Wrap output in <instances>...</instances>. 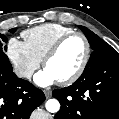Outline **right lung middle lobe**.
<instances>
[{
  "instance_id": "1",
  "label": "right lung middle lobe",
  "mask_w": 119,
  "mask_h": 119,
  "mask_svg": "<svg viewBox=\"0 0 119 119\" xmlns=\"http://www.w3.org/2000/svg\"><path fill=\"white\" fill-rule=\"evenodd\" d=\"M11 33L15 32L16 29H10ZM0 70L2 71H12V65L9 62V59L7 55L5 54V51L7 50V47H3L2 42H7V38L4 35H0Z\"/></svg>"
}]
</instances>
